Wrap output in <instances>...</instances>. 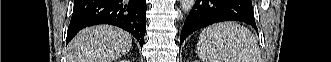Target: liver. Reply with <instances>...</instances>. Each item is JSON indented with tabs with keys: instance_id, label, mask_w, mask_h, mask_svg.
<instances>
[{
	"instance_id": "6515ba94",
	"label": "liver",
	"mask_w": 331,
	"mask_h": 62,
	"mask_svg": "<svg viewBox=\"0 0 331 62\" xmlns=\"http://www.w3.org/2000/svg\"><path fill=\"white\" fill-rule=\"evenodd\" d=\"M132 36L117 27L97 25L83 29L68 45L67 62H113L127 54Z\"/></svg>"
}]
</instances>
